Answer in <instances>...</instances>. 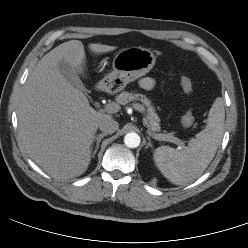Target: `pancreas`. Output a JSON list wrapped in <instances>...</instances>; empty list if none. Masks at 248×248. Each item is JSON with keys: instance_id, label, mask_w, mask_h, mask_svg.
I'll use <instances>...</instances> for the list:
<instances>
[{"instance_id": "pancreas-1", "label": "pancreas", "mask_w": 248, "mask_h": 248, "mask_svg": "<svg viewBox=\"0 0 248 248\" xmlns=\"http://www.w3.org/2000/svg\"><path fill=\"white\" fill-rule=\"evenodd\" d=\"M131 101H141L143 106L146 107V115L144 118V123L148 127V132L151 136H158V140H166L169 141L171 137H173V133H158L161 129L160 127V118L155 112V108L145 95L139 93H129L126 91L121 92L118 96H116V102L121 105H126Z\"/></svg>"}]
</instances>
